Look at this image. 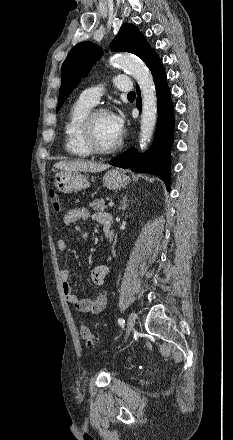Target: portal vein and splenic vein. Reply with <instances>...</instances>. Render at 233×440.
Returning a JSON list of instances; mask_svg holds the SVG:
<instances>
[{
    "instance_id": "portal-vein-and-splenic-vein-1",
    "label": "portal vein and splenic vein",
    "mask_w": 233,
    "mask_h": 440,
    "mask_svg": "<svg viewBox=\"0 0 233 440\" xmlns=\"http://www.w3.org/2000/svg\"><path fill=\"white\" fill-rule=\"evenodd\" d=\"M113 205H114L113 202H109V204H108L109 207H112Z\"/></svg>"
}]
</instances>
